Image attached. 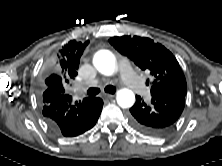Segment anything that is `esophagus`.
Instances as JSON below:
<instances>
[{"label": "esophagus", "mask_w": 222, "mask_h": 166, "mask_svg": "<svg viewBox=\"0 0 222 166\" xmlns=\"http://www.w3.org/2000/svg\"><path fill=\"white\" fill-rule=\"evenodd\" d=\"M115 95L114 94H105L104 97L107 99L113 98Z\"/></svg>", "instance_id": "1"}]
</instances>
